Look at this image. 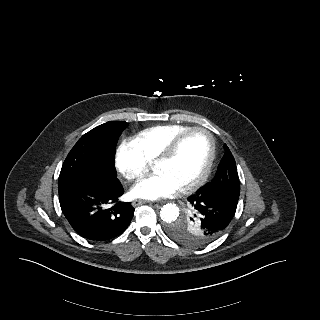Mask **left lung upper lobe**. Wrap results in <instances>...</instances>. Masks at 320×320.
<instances>
[{"mask_svg": "<svg viewBox=\"0 0 320 320\" xmlns=\"http://www.w3.org/2000/svg\"><path fill=\"white\" fill-rule=\"evenodd\" d=\"M224 156L218 166L213 180L202 187L211 194H221L235 200L239 199L240 181L237 173L235 159L226 144ZM200 215L190 205L185 216L168 226V234L177 242L188 246H198L210 242L204 234Z\"/></svg>", "mask_w": 320, "mask_h": 320, "instance_id": "obj_1", "label": "left lung upper lobe"}]
</instances>
